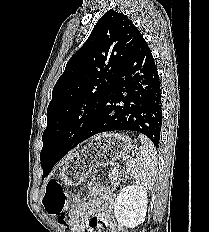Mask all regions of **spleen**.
Masks as SVG:
<instances>
[{
    "label": "spleen",
    "instance_id": "1",
    "mask_svg": "<svg viewBox=\"0 0 209 232\" xmlns=\"http://www.w3.org/2000/svg\"><path fill=\"white\" fill-rule=\"evenodd\" d=\"M141 147L136 155L126 163L127 174L137 183L151 188L155 181L157 156L153 143L144 135H139Z\"/></svg>",
    "mask_w": 209,
    "mask_h": 232
}]
</instances>
